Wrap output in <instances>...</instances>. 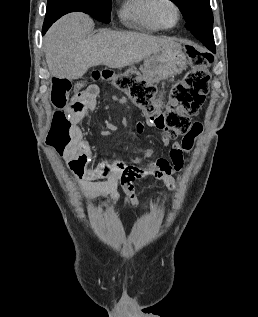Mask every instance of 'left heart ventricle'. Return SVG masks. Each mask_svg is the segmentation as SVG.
Listing matches in <instances>:
<instances>
[{"label":"left heart ventricle","instance_id":"1","mask_svg":"<svg viewBox=\"0 0 258 317\" xmlns=\"http://www.w3.org/2000/svg\"><path fill=\"white\" fill-rule=\"evenodd\" d=\"M158 15L164 23H172L175 20L176 12L171 4H164L160 7Z\"/></svg>","mask_w":258,"mask_h":317}]
</instances>
